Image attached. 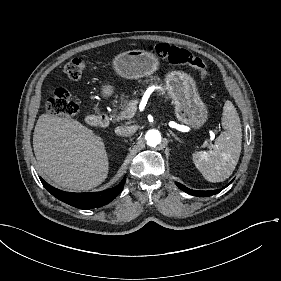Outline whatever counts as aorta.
Here are the masks:
<instances>
[{"label":"aorta","mask_w":281,"mask_h":281,"mask_svg":"<svg viewBox=\"0 0 281 281\" xmlns=\"http://www.w3.org/2000/svg\"><path fill=\"white\" fill-rule=\"evenodd\" d=\"M145 139L147 145L155 147L161 142V134L158 130L151 129L146 133Z\"/></svg>","instance_id":"1"}]
</instances>
